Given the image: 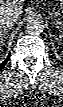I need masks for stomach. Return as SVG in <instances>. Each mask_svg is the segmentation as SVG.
Instances as JSON below:
<instances>
[{
    "label": "stomach",
    "mask_w": 63,
    "mask_h": 107,
    "mask_svg": "<svg viewBox=\"0 0 63 107\" xmlns=\"http://www.w3.org/2000/svg\"><path fill=\"white\" fill-rule=\"evenodd\" d=\"M60 9L61 10L63 9V3L62 2L60 3Z\"/></svg>",
    "instance_id": "stomach-1"
}]
</instances>
